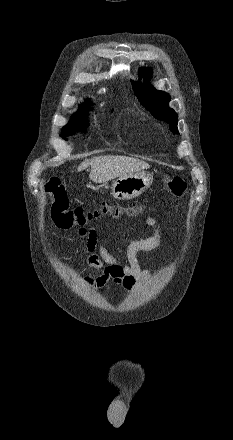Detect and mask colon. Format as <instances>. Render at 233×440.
I'll use <instances>...</instances> for the list:
<instances>
[{"label":"colon","instance_id":"colon-1","mask_svg":"<svg viewBox=\"0 0 233 440\" xmlns=\"http://www.w3.org/2000/svg\"><path fill=\"white\" fill-rule=\"evenodd\" d=\"M165 188L174 196H182L188 189L187 182L179 176H165ZM45 191L52 197L51 215L55 225L61 229L83 227L87 222L103 215L115 218L123 214L136 216L143 210L142 205L122 207L119 204L102 201L93 210L83 207H70V201L65 187L57 178H50L45 182Z\"/></svg>","mask_w":233,"mask_h":440}]
</instances>
